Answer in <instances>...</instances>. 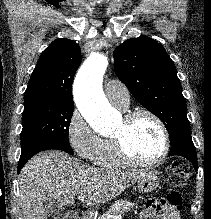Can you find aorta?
<instances>
[{
    "instance_id": "1",
    "label": "aorta",
    "mask_w": 211,
    "mask_h": 219,
    "mask_svg": "<svg viewBox=\"0 0 211 219\" xmlns=\"http://www.w3.org/2000/svg\"><path fill=\"white\" fill-rule=\"evenodd\" d=\"M107 66V57L92 53L80 67L73 86L78 110L100 135L108 134L116 119V112L108 103L102 89Z\"/></svg>"
}]
</instances>
